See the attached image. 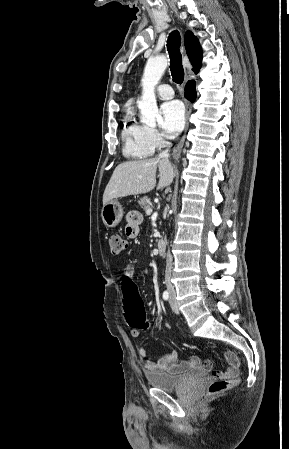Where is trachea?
Wrapping results in <instances>:
<instances>
[{
  "instance_id": "1",
  "label": "trachea",
  "mask_w": 289,
  "mask_h": 449,
  "mask_svg": "<svg viewBox=\"0 0 289 449\" xmlns=\"http://www.w3.org/2000/svg\"><path fill=\"white\" fill-rule=\"evenodd\" d=\"M181 36L177 30L169 34L167 40V50L170 57V71L173 81L181 84L184 79V69L182 65V58L180 53Z\"/></svg>"
}]
</instances>
